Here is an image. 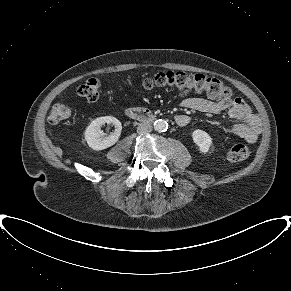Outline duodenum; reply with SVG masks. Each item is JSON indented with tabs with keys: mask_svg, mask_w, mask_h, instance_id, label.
I'll return each mask as SVG.
<instances>
[{
	"mask_svg": "<svg viewBox=\"0 0 291 291\" xmlns=\"http://www.w3.org/2000/svg\"><path fill=\"white\" fill-rule=\"evenodd\" d=\"M126 115L133 119L141 122H152L155 120V115L146 108L133 107L126 111Z\"/></svg>",
	"mask_w": 291,
	"mask_h": 291,
	"instance_id": "410a0bca",
	"label": "duodenum"
}]
</instances>
